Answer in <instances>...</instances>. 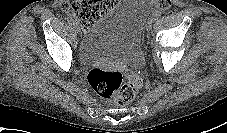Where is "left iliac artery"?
<instances>
[{"label":"left iliac artery","instance_id":"44dca946","mask_svg":"<svg viewBox=\"0 0 227 133\" xmlns=\"http://www.w3.org/2000/svg\"><path fill=\"white\" fill-rule=\"evenodd\" d=\"M162 13L160 11H155L152 15L153 20H157L159 17H161Z\"/></svg>","mask_w":227,"mask_h":133}]
</instances>
